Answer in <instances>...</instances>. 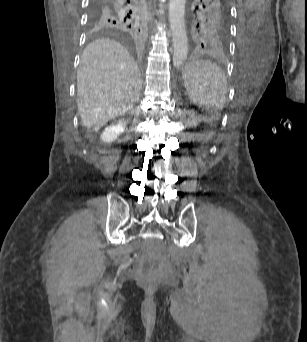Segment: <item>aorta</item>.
Masks as SVG:
<instances>
[{
  "mask_svg": "<svg viewBox=\"0 0 307 342\" xmlns=\"http://www.w3.org/2000/svg\"><path fill=\"white\" fill-rule=\"evenodd\" d=\"M185 2L186 0H170L169 2V24L174 48V66H181L187 60L188 42L184 22Z\"/></svg>",
  "mask_w": 307,
  "mask_h": 342,
  "instance_id": "762f6f07",
  "label": "aorta"
}]
</instances>
